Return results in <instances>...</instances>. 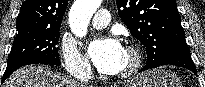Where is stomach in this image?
Listing matches in <instances>:
<instances>
[{"label": "stomach", "instance_id": "1", "mask_svg": "<svg viewBox=\"0 0 205 87\" xmlns=\"http://www.w3.org/2000/svg\"><path fill=\"white\" fill-rule=\"evenodd\" d=\"M126 87H182V84L173 72L153 69L137 75Z\"/></svg>", "mask_w": 205, "mask_h": 87}]
</instances>
